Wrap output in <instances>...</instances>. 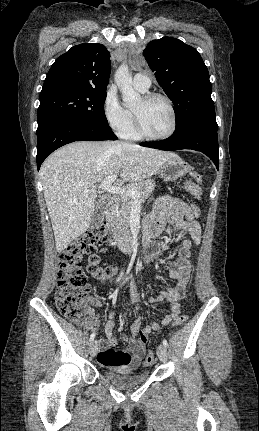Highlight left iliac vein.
Here are the masks:
<instances>
[{
  "label": "left iliac vein",
  "mask_w": 259,
  "mask_h": 431,
  "mask_svg": "<svg viewBox=\"0 0 259 431\" xmlns=\"http://www.w3.org/2000/svg\"><path fill=\"white\" fill-rule=\"evenodd\" d=\"M157 355L161 362L167 361V349L163 344H160L157 348Z\"/></svg>",
  "instance_id": "obj_1"
}]
</instances>
